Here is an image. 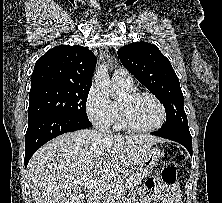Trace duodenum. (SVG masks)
<instances>
[{"label": "duodenum", "mask_w": 222, "mask_h": 203, "mask_svg": "<svg viewBox=\"0 0 222 203\" xmlns=\"http://www.w3.org/2000/svg\"><path fill=\"white\" fill-rule=\"evenodd\" d=\"M99 194L97 192H92L89 196L88 203H98Z\"/></svg>", "instance_id": "1"}]
</instances>
